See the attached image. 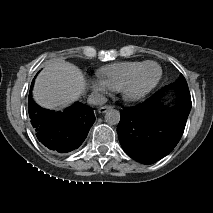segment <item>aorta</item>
I'll list each match as a JSON object with an SVG mask.
<instances>
[{
  "label": "aorta",
  "mask_w": 213,
  "mask_h": 213,
  "mask_svg": "<svg viewBox=\"0 0 213 213\" xmlns=\"http://www.w3.org/2000/svg\"><path fill=\"white\" fill-rule=\"evenodd\" d=\"M105 121L109 125H117L120 122V112L113 108L107 109L105 113Z\"/></svg>",
  "instance_id": "aorta-1"
}]
</instances>
